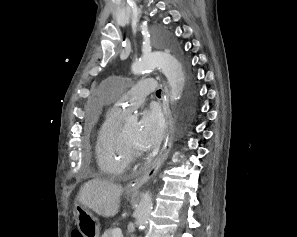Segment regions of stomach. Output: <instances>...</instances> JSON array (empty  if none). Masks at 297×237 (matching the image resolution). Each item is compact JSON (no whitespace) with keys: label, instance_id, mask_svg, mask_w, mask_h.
<instances>
[{"label":"stomach","instance_id":"stomach-1","mask_svg":"<svg viewBox=\"0 0 297 237\" xmlns=\"http://www.w3.org/2000/svg\"><path fill=\"white\" fill-rule=\"evenodd\" d=\"M74 214L79 232L83 237H99L100 224L98 219L86 207L76 206Z\"/></svg>","mask_w":297,"mask_h":237}]
</instances>
